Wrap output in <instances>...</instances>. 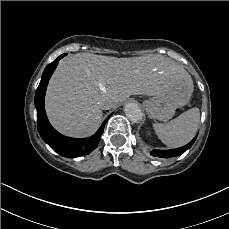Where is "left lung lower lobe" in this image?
<instances>
[{
  "mask_svg": "<svg viewBox=\"0 0 229 229\" xmlns=\"http://www.w3.org/2000/svg\"><path fill=\"white\" fill-rule=\"evenodd\" d=\"M196 138L197 137H194L192 141H190L188 144L184 145L183 147L170 149V150H152L150 154L154 157H160V158H172V157L180 156L187 149L191 148Z\"/></svg>",
  "mask_w": 229,
  "mask_h": 229,
  "instance_id": "0a47b994",
  "label": "left lung lower lobe"
}]
</instances>
